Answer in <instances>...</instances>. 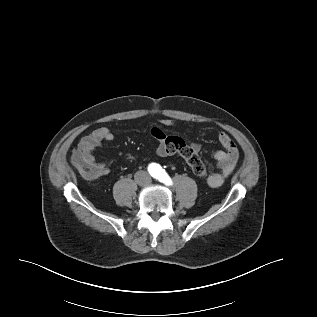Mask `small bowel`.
<instances>
[{
	"label": "small bowel",
	"mask_w": 317,
	"mask_h": 317,
	"mask_svg": "<svg viewBox=\"0 0 317 317\" xmlns=\"http://www.w3.org/2000/svg\"><path fill=\"white\" fill-rule=\"evenodd\" d=\"M162 126H173L175 122L169 118L159 119ZM151 135L158 141L156 152L160 157H167L177 154L180 149L191 148L198 154L200 145L192 143L188 145L182 138L177 136H166L160 127L151 129ZM115 135L107 127H98L90 134L86 135L79 142L78 148L73 152V161L76 163L82 159L92 163L95 167V177H104L109 174L110 170L102 163L95 161L94 152L102 147L104 141H113ZM218 140L223 147L214 154V159L219 168V172L212 173L207 179V185L211 188H217L223 184L225 179L233 172L238 161V148L233 139L222 132L218 136Z\"/></svg>",
	"instance_id": "small-bowel-1"
}]
</instances>
